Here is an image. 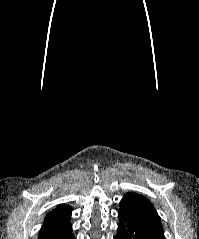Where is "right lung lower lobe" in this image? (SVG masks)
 I'll return each mask as SVG.
<instances>
[{
    "instance_id": "right-lung-lower-lobe-1",
    "label": "right lung lower lobe",
    "mask_w": 199,
    "mask_h": 239,
    "mask_svg": "<svg viewBox=\"0 0 199 239\" xmlns=\"http://www.w3.org/2000/svg\"><path fill=\"white\" fill-rule=\"evenodd\" d=\"M69 220L70 218L44 224L40 230L39 239H74Z\"/></svg>"
}]
</instances>
